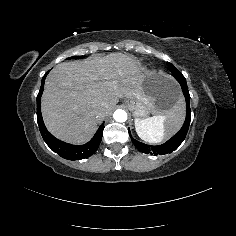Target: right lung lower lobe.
<instances>
[{
  "label": "right lung lower lobe",
  "mask_w": 236,
  "mask_h": 236,
  "mask_svg": "<svg viewBox=\"0 0 236 236\" xmlns=\"http://www.w3.org/2000/svg\"><path fill=\"white\" fill-rule=\"evenodd\" d=\"M48 72L42 79L40 91L37 96V122L39 125L40 133L49 148L56 152L59 156L68 160H81L84 158H88L89 156L94 154L99 147V144L102 140L104 124L100 125L94 137L84 145H71L58 140L53 135H51L47 131L41 115V95L43 93L44 81Z\"/></svg>",
  "instance_id": "obj_1"
}]
</instances>
